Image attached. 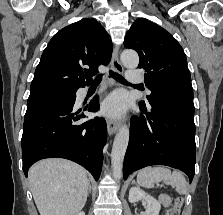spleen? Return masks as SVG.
Masks as SVG:
<instances>
[{"mask_svg":"<svg viewBox=\"0 0 223 215\" xmlns=\"http://www.w3.org/2000/svg\"><path fill=\"white\" fill-rule=\"evenodd\" d=\"M139 185L153 187L158 181L173 185L178 193H186L187 181L181 171H171L168 167H144L137 175Z\"/></svg>","mask_w":223,"mask_h":215,"instance_id":"spleen-1","label":"spleen"}]
</instances>
